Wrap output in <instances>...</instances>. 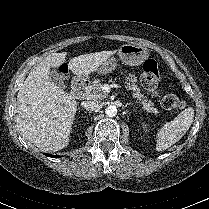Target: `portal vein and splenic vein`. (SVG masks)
Returning <instances> with one entry per match:
<instances>
[{
    "label": "portal vein and splenic vein",
    "mask_w": 209,
    "mask_h": 209,
    "mask_svg": "<svg viewBox=\"0 0 209 209\" xmlns=\"http://www.w3.org/2000/svg\"><path fill=\"white\" fill-rule=\"evenodd\" d=\"M102 90H104L105 92H109L110 91V86L108 84H105L102 86Z\"/></svg>",
    "instance_id": "obj_1"
}]
</instances>
